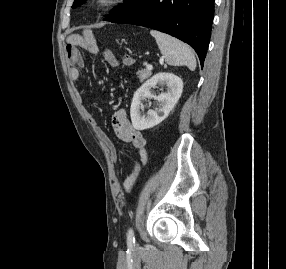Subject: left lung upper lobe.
I'll return each mask as SVG.
<instances>
[{
	"mask_svg": "<svg viewBox=\"0 0 286 269\" xmlns=\"http://www.w3.org/2000/svg\"><path fill=\"white\" fill-rule=\"evenodd\" d=\"M85 0H74L72 8L79 6ZM125 4L122 6H117L111 11V15L104 18L105 21H110L113 23L133 14L137 10L141 9L147 0H124Z\"/></svg>",
	"mask_w": 286,
	"mask_h": 269,
	"instance_id": "5c2ea615",
	"label": "left lung upper lobe"
}]
</instances>
